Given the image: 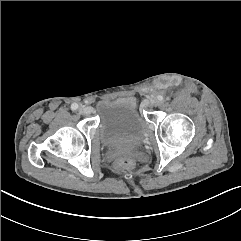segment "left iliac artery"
Returning a JSON list of instances; mask_svg holds the SVG:
<instances>
[{"label":"left iliac artery","mask_w":241,"mask_h":241,"mask_svg":"<svg viewBox=\"0 0 241 241\" xmlns=\"http://www.w3.org/2000/svg\"><path fill=\"white\" fill-rule=\"evenodd\" d=\"M157 99H158L159 101H162V100H163V96L158 95V96H157Z\"/></svg>","instance_id":"obj_1"}]
</instances>
